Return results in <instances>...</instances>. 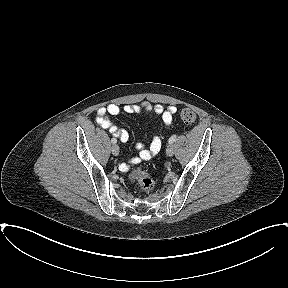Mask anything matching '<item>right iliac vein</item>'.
<instances>
[{
	"label": "right iliac vein",
	"mask_w": 288,
	"mask_h": 288,
	"mask_svg": "<svg viewBox=\"0 0 288 288\" xmlns=\"http://www.w3.org/2000/svg\"><path fill=\"white\" fill-rule=\"evenodd\" d=\"M111 151H112V154L114 156H118L119 154V147L117 145H113L112 148H111Z\"/></svg>",
	"instance_id": "1"
}]
</instances>
